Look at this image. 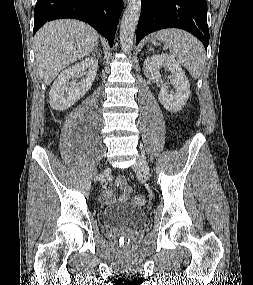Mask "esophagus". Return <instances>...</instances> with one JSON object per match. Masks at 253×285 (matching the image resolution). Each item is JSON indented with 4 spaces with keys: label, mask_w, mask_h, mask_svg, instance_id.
Wrapping results in <instances>:
<instances>
[{
    "label": "esophagus",
    "mask_w": 253,
    "mask_h": 285,
    "mask_svg": "<svg viewBox=\"0 0 253 285\" xmlns=\"http://www.w3.org/2000/svg\"><path fill=\"white\" fill-rule=\"evenodd\" d=\"M128 0H124V3H127Z\"/></svg>",
    "instance_id": "obj_1"
}]
</instances>
